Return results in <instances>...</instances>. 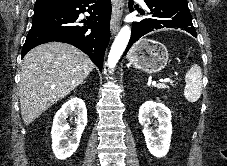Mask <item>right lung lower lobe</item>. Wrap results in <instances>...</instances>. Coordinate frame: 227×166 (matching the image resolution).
<instances>
[{"instance_id": "98d812e1", "label": "right lung lower lobe", "mask_w": 227, "mask_h": 166, "mask_svg": "<svg viewBox=\"0 0 227 166\" xmlns=\"http://www.w3.org/2000/svg\"><path fill=\"white\" fill-rule=\"evenodd\" d=\"M90 16L78 21L80 13ZM110 0H74L61 8L33 16L32 27L22 49V58L32 48L56 41L71 44L86 53L102 70L106 46L110 39ZM84 26L77 25L83 23Z\"/></svg>"}]
</instances>
